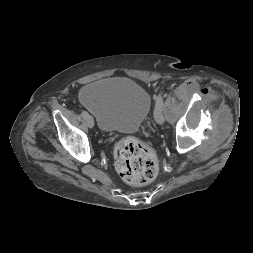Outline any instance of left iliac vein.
I'll return each mask as SVG.
<instances>
[{
	"mask_svg": "<svg viewBox=\"0 0 253 253\" xmlns=\"http://www.w3.org/2000/svg\"><path fill=\"white\" fill-rule=\"evenodd\" d=\"M164 111L165 107L162 104H159L157 107H155L154 110V118L156 122L160 125H162L164 122V115H163Z\"/></svg>",
	"mask_w": 253,
	"mask_h": 253,
	"instance_id": "1",
	"label": "left iliac vein"
}]
</instances>
